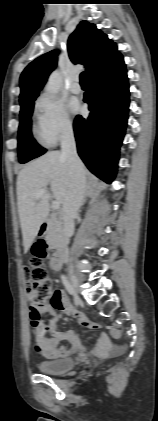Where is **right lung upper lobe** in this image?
Wrapping results in <instances>:
<instances>
[{
	"label": "right lung upper lobe",
	"mask_w": 158,
	"mask_h": 421,
	"mask_svg": "<svg viewBox=\"0 0 158 421\" xmlns=\"http://www.w3.org/2000/svg\"><path fill=\"white\" fill-rule=\"evenodd\" d=\"M57 51L48 52L32 61L20 77V105L36 99L47 81L48 75L55 69ZM68 53L74 64H84L90 77L120 54L116 44L108 39L96 26L82 21L68 39Z\"/></svg>",
	"instance_id": "1"
}]
</instances>
